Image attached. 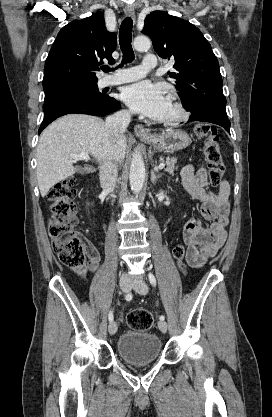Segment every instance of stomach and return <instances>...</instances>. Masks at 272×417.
<instances>
[{"mask_svg":"<svg viewBox=\"0 0 272 417\" xmlns=\"http://www.w3.org/2000/svg\"><path fill=\"white\" fill-rule=\"evenodd\" d=\"M141 139L153 146L154 149L165 151V152H175L180 151L188 147L191 143V138L189 135L179 129H167L161 134H154L151 137Z\"/></svg>","mask_w":272,"mask_h":417,"instance_id":"obj_1","label":"stomach"}]
</instances>
